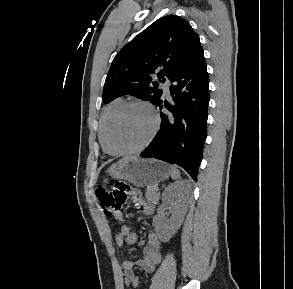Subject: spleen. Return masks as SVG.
I'll return each instance as SVG.
<instances>
[{
    "label": "spleen",
    "instance_id": "obj_1",
    "mask_svg": "<svg viewBox=\"0 0 293 289\" xmlns=\"http://www.w3.org/2000/svg\"><path fill=\"white\" fill-rule=\"evenodd\" d=\"M170 174L172 179H178L180 177V171L176 166H171L170 167Z\"/></svg>",
    "mask_w": 293,
    "mask_h": 289
}]
</instances>
